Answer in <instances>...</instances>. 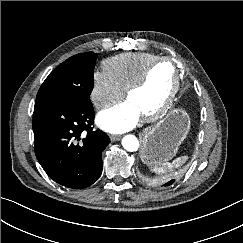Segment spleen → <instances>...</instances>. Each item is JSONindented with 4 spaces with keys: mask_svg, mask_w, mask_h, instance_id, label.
<instances>
[{
    "mask_svg": "<svg viewBox=\"0 0 243 243\" xmlns=\"http://www.w3.org/2000/svg\"><path fill=\"white\" fill-rule=\"evenodd\" d=\"M187 160V156L178 157L175 160H173L172 163L170 162H164L159 163L151 166V171L155 172L156 174H164L168 171H171L174 167H179Z\"/></svg>",
    "mask_w": 243,
    "mask_h": 243,
    "instance_id": "1",
    "label": "spleen"
}]
</instances>
